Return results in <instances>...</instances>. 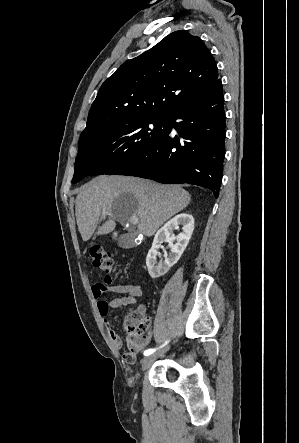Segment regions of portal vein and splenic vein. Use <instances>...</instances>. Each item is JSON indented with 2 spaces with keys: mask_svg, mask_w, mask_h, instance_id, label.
<instances>
[{
  "mask_svg": "<svg viewBox=\"0 0 299 443\" xmlns=\"http://www.w3.org/2000/svg\"><path fill=\"white\" fill-rule=\"evenodd\" d=\"M108 212L106 210H103V214H107ZM130 223L133 225H136L138 223V217L137 216H131L130 217Z\"/></svg>",
  "mask_w": 299,
  "mask_h": 443,
  "instance_id": "obj_1",
  "label": "portal vein and splenic vein"
}]
</instances>
